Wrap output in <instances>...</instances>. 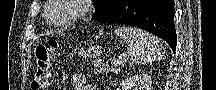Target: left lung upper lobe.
<instances>
[{
    "mask_svg": "<svg viewBox=\"0 0 216 90\" xmlns=\"http://www.w3.org/2000/svg\"><path fill=\"white\" fill-rule=\"evenodd\" d=\"M96 4L97 10L93 17L99 15L100 13L115 7L121 0H93Z\"/></svg>",
    "mask_w": 216,
    "mask_h": 90,
    "instance_id": "left-lung-upper-lobe-1",
    "label": "left lung upper lobe"
}]
</instances>
